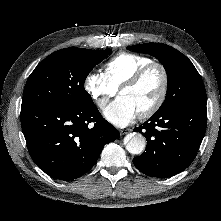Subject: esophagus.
Listing matches in <instances>:
<instances>
[{
	"label": "esophagus",
	"instance_id": "34e87169",
	"mask_svg": "<svg viewBox=\"0 0 221 221\" xmlns=\"http://www.w3.org/2000/svg\"><path fill=\"white\" fill-rule=\"evenodd\" d=\"M131 131H132V130L129 129V128H127V129H122V130H120V134H121V135H125V134L130 133Z\"/></svg>",
	"mask_w": 221,
	"mask_h": 221
}]
</instances>
